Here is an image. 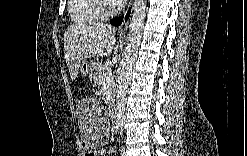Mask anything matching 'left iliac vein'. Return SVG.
<instances>
[{
    "instance_id": "obj_1",
    "label": "left iliac vein",
    "mask_w": 247,
    "mask_h": 156,
    "mask_svg": "<svg viewBox=\"0 0 247 156\" xmlns=\"http://www.w3.org/2000/svg\"><path fill=\"white\" fill-rule=\"evenodd\" d=\"M122 155L126 156L125 148L122 149Z\"/></svg>"
}]
</instances>
